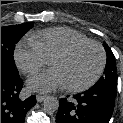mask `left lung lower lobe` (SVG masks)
I'll return each mask as SVG.
<instances>
[{
	"mask_svg": "<svg viewBox=\"0 0 123 123\" xmlns=\"http://www.w3.org/2000/svg\"><path fill=\"white\" fill-rule=\"evenodd\" d=\"M117 91L109 88L91 87L79 93L73 100H60L56 123H108Z\"/></svg>",
	"mask_w": 123,
	"mask_h": 123,
	"instance_id": "obj_1",
	"label": "left lung lower lobe"
}]
</instances>
